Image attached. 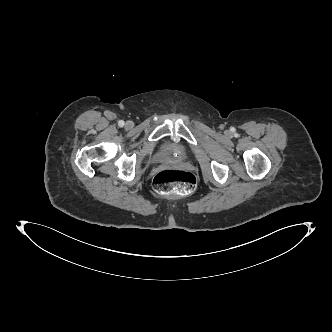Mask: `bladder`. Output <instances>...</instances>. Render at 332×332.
Instances as JSON below:
<instances>
[{"label":"bladder","instance_id":"bladder-1","mask_svg":"<svg viewBox=\"0 0 332 332\" xmlns=\"http://www.w3.org/2000/svg\"><path fill=\"white\" fill-rule=\"evenodd\" d=\"M188 157V149L182 143H171L160 150L153 157L154 161L164 162L170 160H184Z\"/></svg>","mask_w":332,"mask_h":332}]
</instances>
